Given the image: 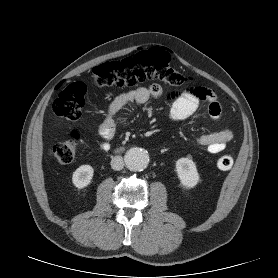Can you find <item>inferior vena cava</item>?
Returning <instances> with one entry per match:
<instances>
[{"mask_svg":"<svg viewBox=\"0 0 278 278\" xmlns=\"http://www.w3.org/2000/svg\"><path fill=\"white\" fill-rule=\"evenodd\" d=\"M124 167V161L121 156H115L111 160V168L113 170L119 171L122 170Z\"/></svg>","mask_w":278,"mask_h":278,"instance_id":"inferior-vena-cava-1","label":"inferior vena cava"}]
</instances>
